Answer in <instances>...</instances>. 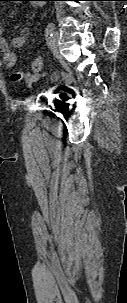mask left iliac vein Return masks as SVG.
<instances>
[{"instance_id":"left-iliac-vein-1","label":"left iliac vein","mask_w":127,"mask_h":303,"mask_svg":"<svg viewBox=\"0 0 127 303\" xmlns=\"http://www.w3.org/2000/svg\"><path fill=\"white\" fill-rule=\"evenodd\" d=\"M58 41H59V34L57 31H54L49 41V47L53 52L54 56L60 60L62 59V56L58 50Z\"/></svg>"}]
</instances>
